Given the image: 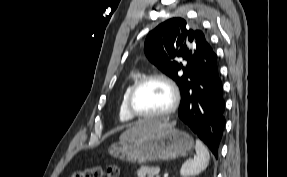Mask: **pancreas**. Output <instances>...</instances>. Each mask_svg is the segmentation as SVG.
Returning a JSON list of instances; mask_svg holds the SVG:
<instances>
[{
    "label": "pancreas",
    "instance_id": "cf45deb5",
    "mask_svg": "<svg viewBox=\"0 0 287 177\" xmlns=\"http://www.w3.org/2000/svg\"><path fill=\"white\" fill-rule=\"evenodd\" d=\"M160 171L159 167H141L138 171H137V176L138 177H158V173Z\"/></svg>",
    "mask_w": 287,
    "mask_h": 177
}]
</instances>
